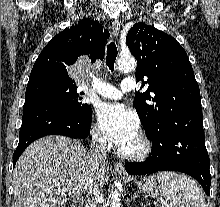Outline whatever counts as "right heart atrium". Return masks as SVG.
<instances>
[{"label": "right heart atrium", "instance_id": "obj_1", "mask_svg": "<svg viewBox=\"0 0 220 207\" xmlns=\"http://www.w3.org/2000/svg\"><path fill=\"white\" fill-rule=\"evenodd\" d=\"M92 137L95 143H97L100 146H106L108 144L106 136L101 132V130L97 126H93L92 128Z\"/></svg>", "mask_w": 220, "mask_h": 207}]
</instances>
